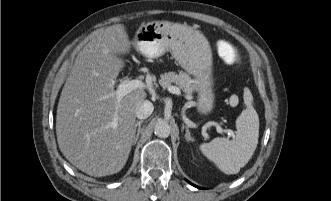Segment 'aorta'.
<instances>
[{
    "label": "aorta",
    "instance_id": "aorta-1",
    "mask_svg": "<svg viewBox=\"0 0 331 201\" xmlns=\"http://www.w3.org/2000/svg\"><path fill=\"white\" fill-rule=\"evenodd\" d=\"M155 134L160 138H166L170 135L171 126L166 120H158L154 126Z\"/></svg>",
    "mask_w": 331,
    "mask_h": 201
}]
</instances>
